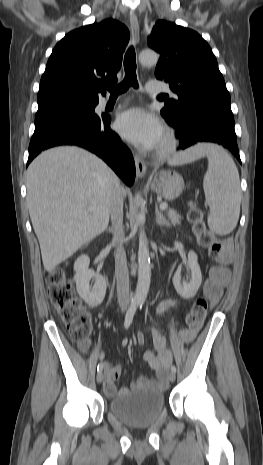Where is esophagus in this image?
Wrapping results in <instances>:
<instances>
[{
    "mask_svg": "<svg viewBox=\"0 0 263 465\" xmlns=\"http://www.w3.org/2000/svg\"><path fill=\"white\" fill-rule=\"evenodd\" d=\"M130 29L132 38L135 44L139 42V22L136 15L130 16ZM135 165H136V174L138 178H142L147 170L146 164L144 161L138 156H134Z\"/></svg>",
    "mask_w": 263,
    "mask_h": 465,
    "instance_id": "esophagus-1",
    "label": "esophagus"
}]
</instances>
